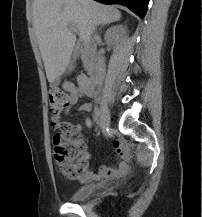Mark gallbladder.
I'll return each instance as SVG.
<instances>
[{
  "label": "gallbladder",
  "instance_id": "1",
  "mask_svg": "<svg viewBox=\"0 0 202 217\" xmlns=\"http://www.w3.org/2000/svg\"><path fill=\"white\" fill-rule=\"evenodd\" d=\"M73 69H74V60H72L67 66V70L65 71V74H70ZM59 83H60V78H57L54 82L51 83V86L52 87L58 86Z\"/></svg>",
  "mask_w": 202,
  "mask_h": 217
}]
</instances>
